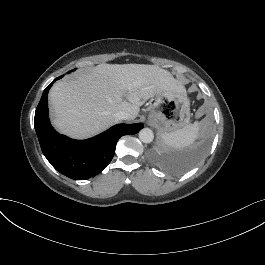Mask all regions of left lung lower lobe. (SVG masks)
I'll use <instances>...</instances> for the list:
<instances>
[{
    "mask_svg": "<svg viewBox=\"0 0 265 265\" xmlns=\"http://www.w3.org/2000/svg\"><path fill=\"white\" fill-rule=\"evenodd\" d=\"M207 144L206 140L201 139L184 150L153 151L150 157L160 169L173 174H181L194 167L202 159Z\"/></svg>",
    "mask_w": 265,
    "mask_h": 265,
    "instance_id": "1",
    "label": "left lung lower lobe"
}]
</instances>
